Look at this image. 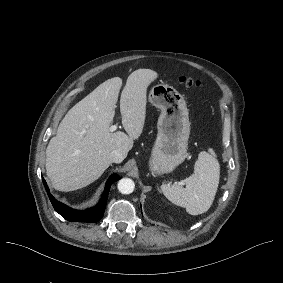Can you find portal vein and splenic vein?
Listing matches in <instances>:
<instances>
[{
	"label": "portal vein and splenic vein",
	"instance_id": "18ae733b",
	"mask_svg": "<svg viewBox=\"0 0 283 283\" xmlns=\"http://www.w3.org/2000/svg\"><path fill=\"white\" fill-rule=\"evenodd\" d=\"M116 130V126H111V127H109V132H114Z\"/></svg>",
	"mask_w": 283,
	"mask_h": 283
}]
</instances>
